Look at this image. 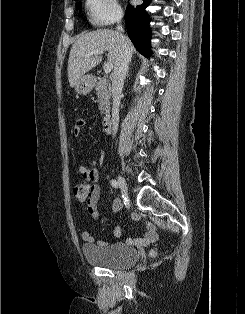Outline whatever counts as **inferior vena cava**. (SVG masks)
<instances>
[{
	"instance_id": "obj_1",
	"label": "inferior vena cava",
	"mask_w": 245,
	"mask_h": 314,
	"mask_svg": "<svg viewBox=\"0 0 245 314\" xmlns=\"http://www.w3.org/2000/svg\"><path fill=\"white\" fill-rule=\"evenodd\" d=\"M122 13L117 16V23L119 24L122 19ZM117 30L120 32H124L121 25L117 26ZM132 51L125 39L122 36L121 42V50L119 53V57L114 66V72L112 75V98H113V106H112V132L115 135L118 129V121H119V106H120V98L124 85V79L126 77V73L128 71V66L131 61Z\"/></svg>"
}]
</instances>
